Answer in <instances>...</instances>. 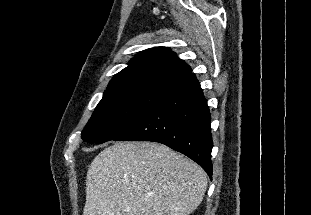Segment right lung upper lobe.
<instances>
[{
	"instance_id": "1",
	"label": "right lung upper lobe",
	"mask_w": 311,
	"mask_h": 215,
	"mask_svg": "<svg viewBox=\"0 0 311 215\" xmlns=\"http://www.w3.org/2000/svg\"><path fill=\"white\" fill-rule=\"evenodd\" d=\"M191 67L166 47L138 53L126 68L114 75L108 89L133 84H172L190 73Z\"/></svg>"
}]
</instances>
